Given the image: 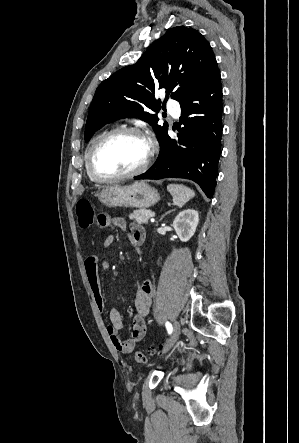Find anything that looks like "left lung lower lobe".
<instances>
[{"mask_svg": "<svg viewBox=\"0 0 299 443\" xmlns=\"http://www.w3.org/2000/svg\"><path fill=\"white\" fill-rule=\"evenodd\" d=\"M216 60L203 79L180 102L177 139L165 133L159 157L153 166L135 179L187 178L212 197L221 154L222 87Z\"/></svg>", "mask_w": 299, "mask_h": 443, "instance_id": "1", "label": "left lung lower lobe"}]
</instances>
